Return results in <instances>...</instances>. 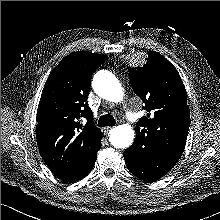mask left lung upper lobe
<instances>
[{"instance_id": "left-lung-upper-lobe-1", "label": "left lung upper lobe", "mask_w": 220, "mask_h": 220, "mask_svg": "<svg viewBox=\"0 0 220 220\" xmlns=\"http://www.w3.org/2000/svg\"><path fill=\"white\" fill-rule=\"evenodd\" d=\"M128 71L134 91L145 103V109L152 112L140 118L136 142L141 150H153L177 162L190 125L187 93L178 71L155 51L148 52L144 66L129 67Z\"/></svg>"}]
</instances>
